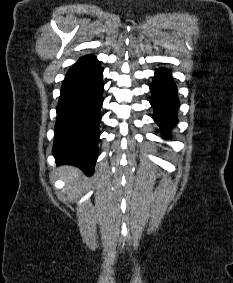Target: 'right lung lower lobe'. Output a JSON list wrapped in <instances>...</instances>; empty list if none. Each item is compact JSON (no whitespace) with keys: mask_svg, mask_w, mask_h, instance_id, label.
<instances>
[{"mask_svg":"<svg viewBox=\"0 0 233 283\" xmlns=\"http://www.w3.org/2000/svg\"><path fill=\"white\" fill-rule=\"evenodd\" d=\"M103 69L93 55L80 58L67 72L57 106L53 154L57 164L92 174L98 152Z\"/></svg>","mask_w":233,"mask_h":283,"instance_id":"right-lung-lower-lobe-1","label":"right lung lower lobe"}]
</instances>
